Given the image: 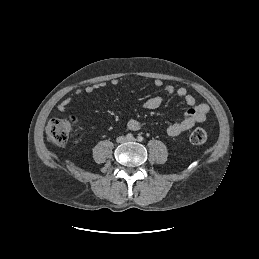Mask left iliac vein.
I'll list each match as a JSON object with an SVG mask.
<instances>
[{"label": "left iliac vein", "mask_w": 259, "mask_h": 259, "mask_svg": "<svg viewBox=\"0 0 259 259\" xmlns=\"http://www.w3.org/2000/svg\"><path fill=\"white\" fill-rule=\"evenodd\" d=\"M135 140H136V139H134V138H133V139H128V141H135Z\"/></svg>", "instance_id": "1"}]
</instances>
